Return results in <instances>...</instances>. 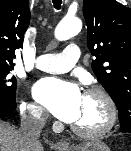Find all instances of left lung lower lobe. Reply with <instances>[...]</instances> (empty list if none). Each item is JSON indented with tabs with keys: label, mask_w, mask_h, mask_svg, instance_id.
I'll list each match as a JSON object with an SVG mask.
<instances>
[{
	"label": "left lung lower lobe",
	"mask_w": 131,
	"mask_h": 151,
	"mask_svg": "<svg viewBox=\"0 0 131 151\" xmlns=\"http://www.w3.org/2000/svg\"><path fill=\"white\" fill-rule=\"evenodd\" d=\"M122 132H131V128L123 129Z\"/></svg>",
	"instance_id": "left-lung-lower-lobe-1"
}]
</instances>
